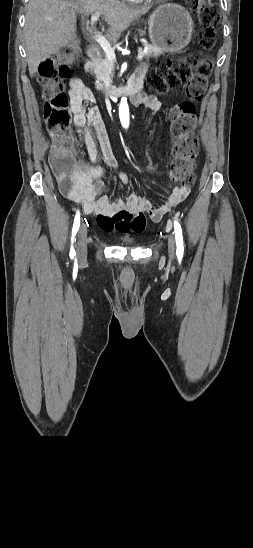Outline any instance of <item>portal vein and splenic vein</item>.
<instances>
[{
    "mask_svg": "<svg viewBox=\"0 0 253 548\" xmlns=\"http://www.w3.org/2000/svg\"><path fill=\"white\" fill-rule=\"evenodd\" d=\"M100 17V13L99 12H95L92 17H91V25L94 24V22H96ZM94 40L100 45V47L103 49V51L105 52L106 56L112 61V62H115L116 61V55H115V52H114V49H112L110 43L100 34H95L93 36ZM144 55L142 52H138V56H137V59L138 60H141L143 59Z\"/></svg>",
    "mask_w": 253,
    "mask_h": 548,
    "instance_id": "18ae733b",
    "label": "portal vein and splenic vein"
}]
</instances>
